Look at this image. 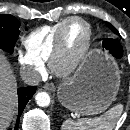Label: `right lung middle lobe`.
Wrapping results in <instances>:
<instances>
[{"label":"right lung middle lobe","mask_w":130,"mask_h":130,"mask_svg":"<svg viewBox=\"0 0 130 130\" xmlns=\"http://www.w3.org/2000/svg\"><path fill=\"white\" fill-rule=\"evenodd\" d=\"M20 23L12 15H0V49L13 53L18 39Z\"/></svg>","instance_id":"1"}]
</instances>
